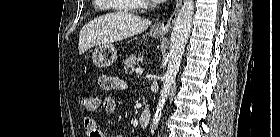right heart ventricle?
<instances>
[{"label": "right heart ventricle", "mask_w": 280, "mask_h": 137, "mask_svg": "<svg viewBox=\"0 0 280 137\" xmlns=\"http://www.w3.org/2000/svg\"><path fill=\"white\" fill-rule=\"evenodd\" d=\"M100 1H103V0H96V2H100ZM120 1H125V2H134L133 0H120ZM120 10H125V11H129L128 9L126 8H119Z\"/></svg>", "instance_id": "e07e8e85"}]
</instances>
